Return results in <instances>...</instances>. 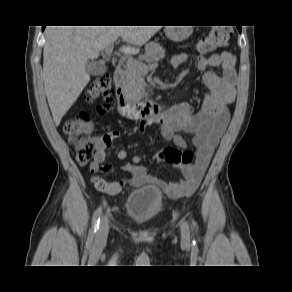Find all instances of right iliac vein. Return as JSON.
<instances>
[{
  "label": "right iliac vein",
  "mask_w": 292,
  "mask_h": 292,
  "mask_svg": "<svg viewBox=\"0 0 292 292\" xmlns=\"http://www.w3.org/2000/svg\"><path fill=\"white\" fill-rule=\"evenodd\" d=\"M108 229H109V224H108V219L106 216L102 217L100 221V226L98 228V232L96 235V239L99 242H103L108 234Z\"/></svg>",
  "instance_id": "63e3f726"
}]
</instances>
